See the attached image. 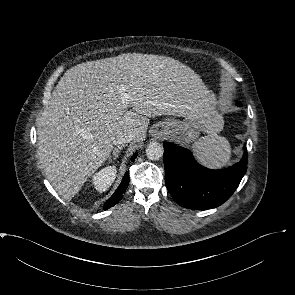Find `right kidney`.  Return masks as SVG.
Masks as SVG:
<instances>
[{
  "label": "right kidney",
  "mask_w": 295,
  "mask_h": 295,
  "mask_svg": "<svg viewBox=\"0 0 295 295\" xmlns=\"http://www.w3.org/2000/svg\"><path fill=\"white\" fill-rule=\"evenodd\" d=\"M116 167L107 166L92 176V185L99 192L106 191L116 178Z\"/></svg>",
  "instance_id": "right-kidney-1"
}]
</instances>
